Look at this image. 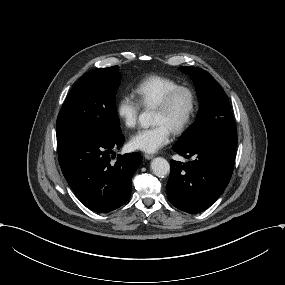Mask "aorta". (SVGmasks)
<instances>
[{
    "mask_svg": "<svg viewBox=\"0 0 285 285\" xmlns=\"http://www.w3.org/2000/svg\"><path fill=\"white\" fill-rule=\"evenodd\" d=\"M139 121L143 126H149L152 123V115L149 112H143L139 116ZM153 173L160 178L165 177L170 172V164L162 157L154 158L151 162Z\"/></svg>",
    "mask_w": 285,
    "mask_h": 285,
    "instance_id": "762f6f07",
    "label": "aorta"
}]
</instances>
